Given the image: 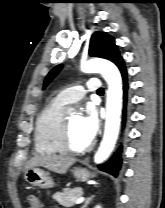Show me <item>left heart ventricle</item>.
Masks as SVG:
<instances>
[{
  "label": "left heart ventricle",
  "mask_w": 165,
  "mask_h": 208,
  "mask_svg": "<svg viewBox=\"0 0 165 208\" xmlns=\"http://www.w3.org/2000/svg\"><path fill=\"white\" fill-rule=\"evenodd\" d=\"M70 143L76 148L87 146L90 142L86 139L81 128V117L79 115L69 116Z\"/></svg>",
  "instance_id": "1"
}]
</instances>
